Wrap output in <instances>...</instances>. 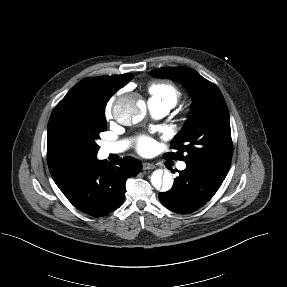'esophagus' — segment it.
Listing matches in <instances>:
<instances>
[{
  "label": "esophagus",
  "instance_id": "obj_1",
  "mask_svg": "<svg viewBox=\"0 0 287 287\" xmlns=\"http://www.w3.org/2000/svg\"><path fill=\"white\" fill-rule=\"evenodd\" d=\"M154 168H155V165L152 163H148V162L143 163V170H150Z\"/></svg>",
  "mask_w": 287,
  "mask_h": 287
}]
</instances>
